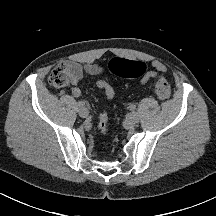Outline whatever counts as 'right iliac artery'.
Masks as SVG:
<instances>
[{
    "mask_svg": "<svg viewBox=\"0 0 216 216\" xmlns=\"http://www.w3.org/2000/svg\"><path fill=\"white\" fill-rule=\"evenodd\" d=\"M77 104L81 108L85 107V105H86L84 101H79Z\"/></svg>",
    "mask_w": 216,
    "mask_h": 216,
    "instance_id": "obj_1",
    "label": "right iliac artery"
}]
</instances>
